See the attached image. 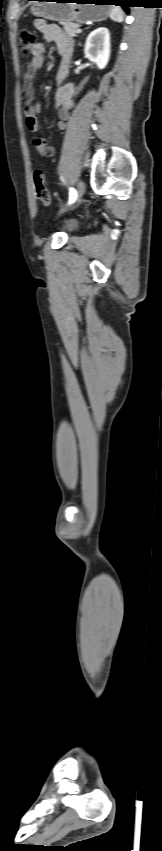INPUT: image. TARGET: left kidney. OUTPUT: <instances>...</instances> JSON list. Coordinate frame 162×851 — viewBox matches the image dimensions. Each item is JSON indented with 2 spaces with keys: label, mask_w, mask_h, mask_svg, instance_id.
I'll use <instances>...</instances> for the list:
<instances>
[{
  "label": "left kidney",
  "mask_w": 162,
  "mask_h": 851,
  "mask_svg": "<svg viewBox=\"0 0 162 851\" xmlns=\"http://www.w3.org/2000/svg\"><path fill=\"white\" fill-rule=\"evenodd\" d=\"M85 57L94 62L97 67L104 69L110 58V33L105 27H100L92 31L85 43Z\"/></svg>",
  "instance_id": "obj_1"
}]
</instances>
